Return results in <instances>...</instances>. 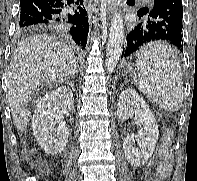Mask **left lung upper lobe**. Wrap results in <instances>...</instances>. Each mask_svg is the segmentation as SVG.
<instances>
[{"label":"left lung upper lobe","instance_id":"obj_1","mask_svg":"<svg viewBox=\"0 0 197 181\" xmlns=\"http://www.w3.org/2000/svg\"><path fill=\"white\" fill-rule=\"evenodd\" d=\"M151 7H143V8H140L139 11L137 12V15L138 16H144L146 15L149 10H150Z\"/></svg>","mask_w":197,"mask_h":181}]
</instances>
